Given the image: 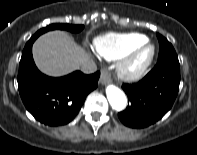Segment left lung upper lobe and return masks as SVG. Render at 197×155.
<instances>
[{
    "label": "left lung upper lobe",
    "mask_w": 197,
    "mask_h": 155,
    "mask_svg": "<svg viewBox=\"0 0 197 155\" xmlns=\"http://www.w3.org/2000/svg\"><path fill=\"white\" fill-rule=\"evenodd\" d=\"M157 37L159 40L158 61L171 60V61L178 62L177 54H176L173 46L171 45V43L168 42V40L160 34H157Z\"/></svg>",
    "instance_id": "obj_1"
}]
</instances>
